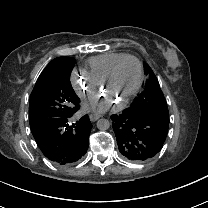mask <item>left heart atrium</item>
<instances>
[{
	"label": "left heart atrium",
	"mask_w": 208,
	"mask_h": 208,
	"mask_svg": "<svg viewBox=\"0 0 208 208\" xmlns=\"http://www.w3.org/2000/svg\"><path fill=\"white\" fill-rule=\"evenodd\" d=\"M109 106L108 101H103L102 103H96V101H86L83 103V110L86 112H102L106 110Z\"/></svg>",
	"instance_id": "left-heart-atrium-1"
}]
</instances>
